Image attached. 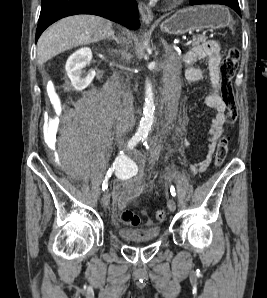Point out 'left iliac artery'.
I'll return each instance as SVG.
<instances>
[{
	"label": "left iliac artery",
	"mask_w": 267,
	"mask_h": 298,
	"mask_svg": "<svg viewBox=\"0 0 267 298\" xmlns=\"http://www.w3.org/2000/svg\"><path fill=\"white\" fill-rule=\"evenodd\" d=\"M142 143H143V145H144L146 148H148L147 137H146V136H144V137L142 138ZM170 192H171V195H172L173 197L176 196L175 188H174V186H172V185L170 186Z\"/></svg>",
	"instance_id": "obj_1"
}]
</instances>
